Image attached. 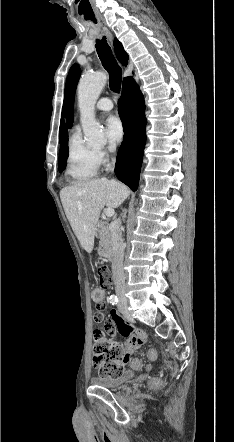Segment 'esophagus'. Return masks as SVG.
Wrapping results in <instances>:
<instances>
[{"instance_id": "1", "label": "esophagus", "mask_w": 234, "mask_h": 442, "mask_svg": "<svg viewBox=\"0 0 234 442\" xmlns=\"http://www.w3.org/2000/svg\"><path fill=\"white\" fill-rule=\"evenodd\" d=\"M107 36L109 37L110 41L112 40V35L109 31H106Z\"/></svg>"}]
</instances>
